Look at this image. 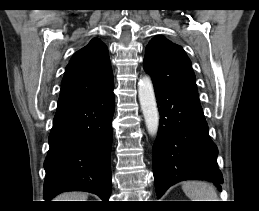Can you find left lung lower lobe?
<instances>
[{
	"instance_id": "left-lung-lower-lobe-1",
	"label": "left lung lower lobe",
	"mask_w": 259,
	"mask_h": 211,
	"mask_svg": "<svg viewBox=\"0 0 259 211\" xmlns=\"http://www.w3.org/2000/svg\"><path fill=\"white\" fill-rule=\"evenodd\" d=\"M160 126L153 146V173L158 198L173 184L188 179L223 182L217 147L208 135L199 97L154 86Z\"/></svg>"
}]
</instances>
